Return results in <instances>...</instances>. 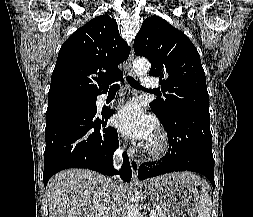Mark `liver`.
I'll return each instance as SVG.
<instances>
[{
	"label": "liver",
	"instance_id": "obj_1",
	"mask_svg": "<svg viewBox=\"0 0 253 217\" xmlns=\"http://www.w3.org/2000/svg\"><path fill=\"white\" fill-rule=\"evenodd\" d=\"M173 175L191 184L200 183V178L189 172ZM112 183L110 178L91 170L59 172L47 185L49 217H108L112 211ZM121 185L124 198L127 186Z\"/></svg>",
	"mask_w": 253,
	"mask_h": 217
}]
</instances>
